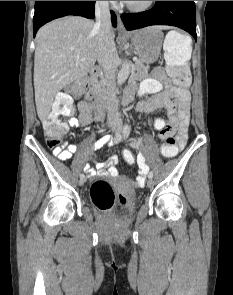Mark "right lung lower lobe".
<instances>
[{
  "mask_svg": "<svg viewBox=\"0 0 233 295\" xmlns=\"http://www.w3.org/2000/svg\"><path fill=\"white\" fill-rule=\"evenodd\" d=\"M95 1H35V13L33 18L34 37L37 30L45 23L66 15H79L89 19L94 18ZM111 19L114 27L117 26V17L111 11Z\"/></svg>",
  "mask_w": 233,
  "mask_h": 295,
  "instance_id": "right-lung-lower-lobe-1",
  "label": "right lung lower lobe"
}]
</instances>
